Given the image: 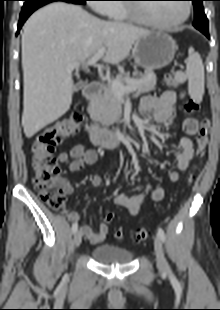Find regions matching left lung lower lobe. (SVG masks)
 Returning <instances> with one entry per match:
<instances>
[{"label": "left lung lower lobe", "mask_w": 220, "mask_h": 310, "mask_svg": "<svg viewBox=\"0 0 220 310\" xmlns=\"http://www.w3.org/2000/svg\"><path fill=\"white\" fill-rule=\"evenodd\" d=\"M204 35H206L207 38H209V32H202Z\"/></svg>", "instance_id": "0a47b994"}]
</instances>
